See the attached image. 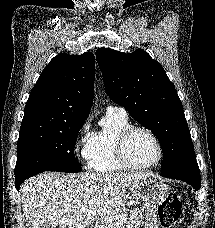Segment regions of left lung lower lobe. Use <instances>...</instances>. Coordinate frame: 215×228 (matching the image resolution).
<instances>
[{"label": "left lung lower lobe", "mask_w": 215, "mask_h": 228, "mask_svg": "<svg viewBox=\"0 0 215 228\" xmlns=\"http://www.w3.org/2000/svg\"><path fill=\"white\" fill-rule=\"evenodd\" d=\"M163 177L177 179L190 184L195 190L201 187L200 170L196 160H190L169 171L160 174Z\"/></svg>", "instance_id": "1"}]
</instances>
